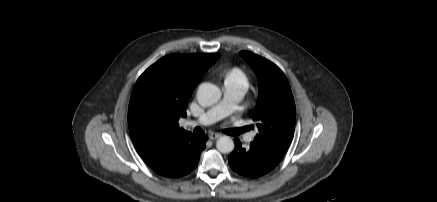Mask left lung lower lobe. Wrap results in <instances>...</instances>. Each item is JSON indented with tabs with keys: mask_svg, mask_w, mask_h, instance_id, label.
Returning <instances> with one entry per match:
<instances>
[{
	"mask_svg": "<svg viewBox=\"0 0 437 202\" xmlns=\"http://www.w3.org/2000/svg\"><path fill=\"white\" fill-rule=\"evenodd\" d=\"M229 164L239 175L258 178L273 170L279 163L268 158L252 144L247 149L243 148L241 142L235 139V149L230 154Z\"/></svg>",
	"mask_w": 437,
	"mask_h": 202,
	"instance_id": "obj_1",
	"label": "left lung lower lobe"
}]
</instances>
